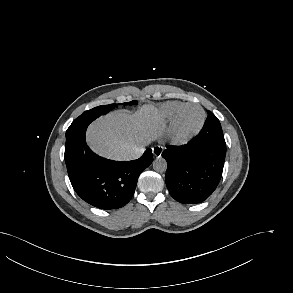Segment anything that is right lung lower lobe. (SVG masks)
Listing matches in <instances>:
<instances>
[{
	"label": "right lung lower lobe",
	"mask_w": 293,
	"mask_h": 293,
	"mask_svg": "<svg viewBox=\"0 0 293 293\" xmlns=\"http://www.w3.org/2000/svg\"><path fill=\"white\" fill-rule=\"evenodd\" d=\"M90 123L66 131L65 163L76 193L87 203L105 210L126 205L132 198L140 173L153 160L147 149L137 160L113 161L95 154L86 144Z\"/></svg>",
	"instance_id": "98d812e1"
}]
</instances>
